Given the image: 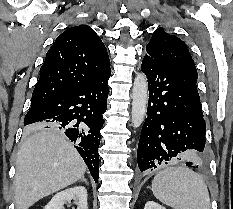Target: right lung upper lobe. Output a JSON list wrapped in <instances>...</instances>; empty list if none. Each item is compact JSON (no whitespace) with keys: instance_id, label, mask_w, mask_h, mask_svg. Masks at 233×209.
Masks as SVG:
<instances>
[{"instance_id":"1","label":"right lung upper lobe","mask_w":233,"mask_h":209,"mask_svg":"<svg viewBox=\"0 0 233 209\" xmlns=\"http://www.w3.org/2000/svg\"><path fill=\"white\" fill-rule=\"evenodd\" d=\"M109 70L107 49L95 31L87 25L71 27L48 50L31 105L81 87Z\"/></svg>"}]
</instances>
